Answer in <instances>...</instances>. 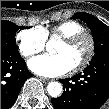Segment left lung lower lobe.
I'll use <instances>...</instances> for the list:
<instances>
[{
  "label": "left lung lower lobe",
  "mask_w": 109,
  "mask_h": 109,
  "mask_svg": "<svg viewBox=\"0 0 109 109\" xmlns=\"http://www.w3.org/2000/svg\"><path fill=\"white\" fill-rule=\"evenodd\" d=\"M65 90L59 98H53L55 109H99L109 97V53L92 58L83 73L59 80ZM80 90V99L70 101L69 90Z\"/></svg>",
  "instance_id": "1"
}]
</instances>
